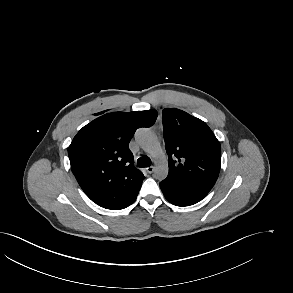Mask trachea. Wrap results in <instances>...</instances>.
<instances>
[{"label":"trachea","mask_w":293,"mask_h":293,"mask_svg":"<svg viewBox=\"0 0 293 293\" xmlns=\"http://www.w3.org/2000/svg\"><path fill=\"white\" fill-rule=\"evenodd\" d=\"M137 163L141 168L149 167L151 165V160L149 157H140L138 158Z\"/></svg>","instance_id":"obj_1"}]
</instances>
